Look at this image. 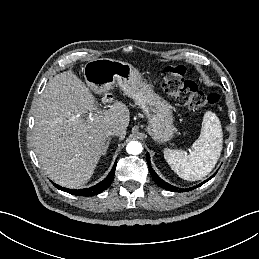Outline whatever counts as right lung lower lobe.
<instances>
[{
	"mask_svg": "<svg viewBox=\"0 0 259 259\" xmlns=\"http://www.w3.org/2000/svg\"><path fill=\"white\" fill-rule=\"evenodd\" d=\"M115 169H116V162L112 168V170L110 171L109 175L100 183H98L97 185L90 187V188H84V189H68V188H63L57 184H54V186L62 191L68 192L72 195H77V196H93V195H97L99 193H101L102 191H104L105 189H107L110 184L112 183V180L114 178V174H115Z\"/></svg>",
	"mask_w": 259,
	"mask_h": 259,
	"instance_id": "obj_1",
	"label": "right lung lower lobe"
}]
</instances>
